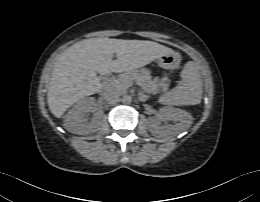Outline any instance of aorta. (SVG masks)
<instances>
[{
  "label": "aorta",
  "instance_id": "1",
  "mask_svg": "<svg viewBox=\"0 0 260 202\" xmlns=\"http://www.w3.org/2000/svg\"><path fill=\"white\" fill-rule=\"evenodd\" d=\"M121 101L123 104H130L131 101H132V98L130 95H123L122 98H121Z\"/></svg>",
  "mask_w": 260,
  "mask_h": 202
}]
</instances>
